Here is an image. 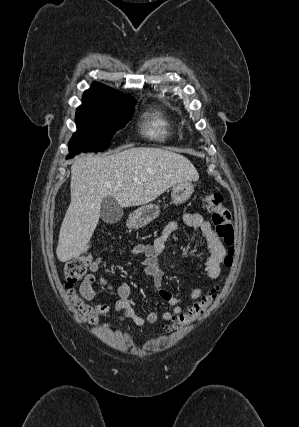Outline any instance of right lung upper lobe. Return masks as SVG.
Listing matches in <instances>:
<instances>
[{
    "instance_id": "obj_1",
    "label": "right lung upper lobe",
    "mask_w": 299,
    "mask_h": 427,
    "mask_svg": "<svg viewBox=\"0 0 299 427\" xmlns=\"http://www.w3.org/2000/svg\"><path fill=\"white\" fill-rule=\"evenodd\" d=\"M124 99L130 98L100 83H94L93 87L86 90L83 95V103L113 102Z\"/></svg>"
}]
</instances>
